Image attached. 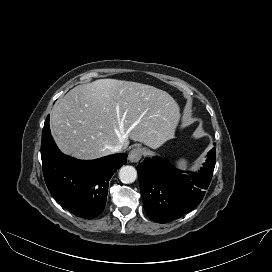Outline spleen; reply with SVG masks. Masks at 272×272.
I'll return each instance as SVG.
<instances>
[{
	"mask_svg": "<svg viewBox=\"0 0 272 272\" xmlns=\"http://www.w3.org/2000/svg\"><path fill=\"white\" fill-rule=\"evenodd\" d=\"M176 164L178 167H180L182 169H185L187 167V161L183 158L176 161Z\"/></svg>",
	"mask_w": 272,
	"mask_h": 272,
	"instance_id": "3e777b00",
	"label": "spleen"
}]
</instances>
